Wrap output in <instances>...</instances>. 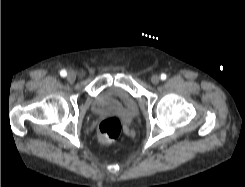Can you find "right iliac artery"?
Listing matches in <instances>:
<instances>
[{"label":"right iliac artery","instance_id":"right-iliac-artery-1","mask_svg":"<svg viewBox=\"0 0 245 187\" xmlns=\"http://www.w3.org/2000/svg\"><path fill=\"white\" fill-rule=\"evenodd\" d=\"M60 75H61L62 77H65V76L67 75V72H66L65 70H61V71H60Z\"/></svg>","mask_w":245,"mask_h":187}]
</instances>
